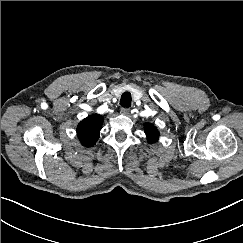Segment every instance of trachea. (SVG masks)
I'll return each instance as SVG.
<instances>
[{
	"label": "trachea",
	"mask_w": 243,
	"mask_h": 243,
	"mask_svg": "<svg viewBox=\"0 0 243 243\" xmlns=\"http://www.w3.org/2000/svg\"><path fill=\"white\" fill-rule=\"evenodd\" d=\"M131 94L129 92H124L120 99V105L124 108H129L131 106Z\"/></svg>",
	"instance_id": "3493384b"
}]
</instances>
